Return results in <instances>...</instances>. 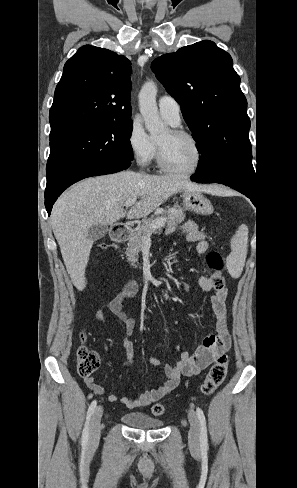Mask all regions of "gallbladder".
<instances>
[{
	"mask_svg": "<svg viewBox=\"0 0 297 488\" xmlns=\"http://www.w3.org/2000/svg\"><path fill=\"white\" fill-rule=\"evenodd\" d=\"M108 232V227L106 225L94 224L88 230V238L92 240H99Z\"/></svg>",
	"mask_w": 297,
	"mask_h": 488,
	"instance_id": "1",
	"label": "gallbladder"
}]
</instances>
